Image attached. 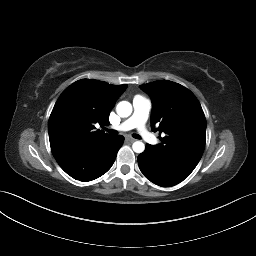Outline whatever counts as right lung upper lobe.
<instances>
[{
	"instance_id": "obj_1",
	"label": "right lung upper lobe",
	"mask_w": 256,
	"mask_h": 256,
	"mask_svg": "<svg viewBox=\"0 0 256 256\" xmlns=\"http://www.w3.org/2000/svg\"><path fill=\"white\" fill-rule=\"evenodd\" d=\"M127 85L82 79L71 84L57 100L48 122L55 158L110 137L95 131V123H109V114Z\"/></svg>"
}]
</instances>
